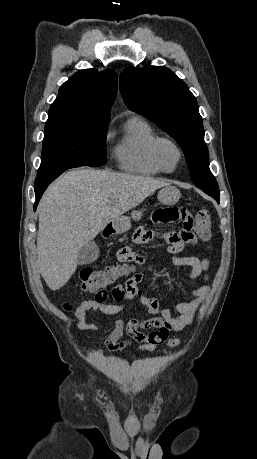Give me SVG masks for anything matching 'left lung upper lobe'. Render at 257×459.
Returning <instances> with one entry per match:
<instances>
[{
    "instance_id": "5c2ea615",
    "label": "left lung upper lobe",
    "mask_w": 257,
    "mask_h": 459,
    "mask_svg": "<svg viewBox=\"0 0 257 459\" xmlns=\"http://www.w3.org/2000/svg\"><path fill=\"white\" fill-rule=\"evenodd\" d=\"M120 91L130 110L156 123L178 142L195 185L219 202L218 184L209 170L202 117L186 84L165 67H128L120 75Z\"/></svg>"
}]
</instances>
